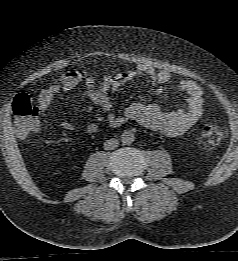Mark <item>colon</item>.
Instances as JSON below:
<instances>
[{"label": "colon", "instance_id": "5ec220e1", "mask_svg": "<svg viewBox=\"0 0 238 261\" xmlns=\"http://www.w3.org/2000/svg\"><path fill=\"white\" fill-rule=\"evenodd\" d=\"M13 113L15 130L20 137L26 138L39 129L40 111L31 96L19 95L13 103ZM223 137V129L215 123H210L202 128L199 142L203 148L210 149L217 146Z\"/></svg>", "mask_w": 238, "mask_h": 261}]
</instances>
